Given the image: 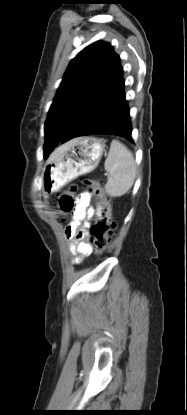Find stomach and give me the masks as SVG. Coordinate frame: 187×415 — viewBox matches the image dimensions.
Returning a JSON list of instances; mask_svg holds the SVG:
<instances>
[{"instance_id":"0dacf381","label":"stomach","mask_w":187,"mask_h":415,"mask_svg":"<svg viewBox=\"0 0 187 415\" xmlns=\"http://www.w3.org/2000/svg\"><path fill=\"white\" fill-rule=\"evenodd\" d=\"M105 150V141L95 137H80L71 141L68 149L49 161L42 173V191L49 194L94 170Z\"/></svg>"}]
</instances>
